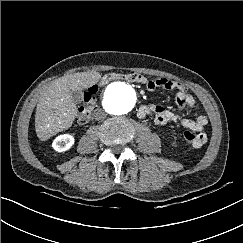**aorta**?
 Returning a JSON list of instances; mask_svg holds the SVG:
<instances>
[{"label": "aorta", "instance_id": "obj_1", "mask_svg": "<svg viewBox=\"0 0 243 243\" xmlns=\"http://www.w3.org/2000/svg\"><path fill=\"white\" fill-rule=\"evenodd\" d=\"M133 93L134 89L131 85L114 82L106 88L102 104L111 114H126L131 111L135 104Z\"/></svg>", "mask_w": 243, "mask_h": 243}]
</instances>
